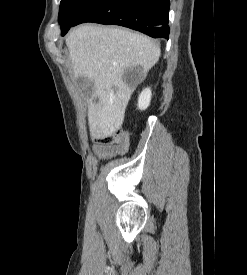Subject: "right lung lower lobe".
<instances>
[{
	"label": "right lung lower lobe",
	"mask_w": 247,
	"mask_h": 275,
	"mask_svg": "<svg viewBox=\"0 0 247 275\" xmlns=\"http://www.w3.org/2000/svg\"><path fill=\"white\" fill-rule=\"evenodd\" d=\"M169 7V0H100L85 10L73 26L84 22L115 24L168 39Z\"/></svg>",
	"instance_id": "right-lung-lower-lobe-1"
}]
</instances>
